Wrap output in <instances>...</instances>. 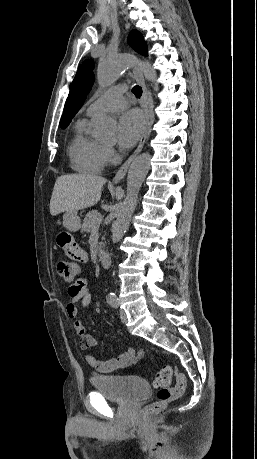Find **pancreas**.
I'll use <instances>...</instances> for the list:
<instances>
[{"instance_id": "pancreas-1", "label": "pancreas", "mask_w": 257, "mask_h": 459, "mask_svg": "<svg viewBox=\"0 0 257 459\" xmlns=\"http://www.w3.org/2000/svg\"><path fill=\"white\" fill-rule=\"evenodd\" d=\"M98 212L96 210L90 211L87 213L86 217L83 220L82 224V232L84 233H89L94 226H97L94 224L96 217L98 216ZM102 247V243H100V248Z\"/></svg>"}]
</instances>
